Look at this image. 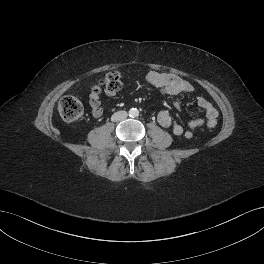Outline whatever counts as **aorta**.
<instances>
[{
  "mask_svg": "<svg viewBox=\"0 0 264 264\" xmlns=\"http://www.w3.org/2000/svg\"><path fill=\"white\" fill-rule=\"evenodd\" d=\"M129 115H130L131 117H137V116L139 115V111H138L136 108H132V109H130V111H129Z\"/></svg>",
  "mask_w": 264,
  "mask_h": 264,
  "instance_id": "aorta-1",
  "label": "aorta"
}]
</instances>
